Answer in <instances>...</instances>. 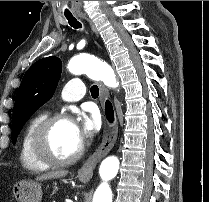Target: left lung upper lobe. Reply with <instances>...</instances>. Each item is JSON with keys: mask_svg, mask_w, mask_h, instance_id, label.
<instances>
[{"mask_svg": "<svg viewBox=\"0 0 209 202\" xmlns=\"http://www.w3.org/2000/svg\"><path fill=\"white\" fill-rule=\"evenodd\" d=\"M61 71V60L50 56L34 63L23 76L13 109V144H15L24 123L53 96Z\"/></svg>", "mask_w": 209, "mask_h": 202, "instance_id": "5c2ea615", "label": "left lung upper lobe"}]
</instances>
